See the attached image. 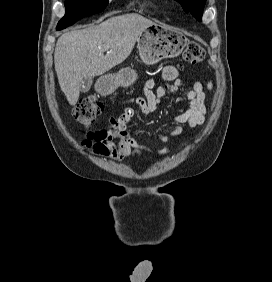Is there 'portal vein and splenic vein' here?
<instances>
[{
    "instance_id": "1",
    "label": "portal vein and splenic vein",
    "mask_w": 272,
    "mask_h": 282,
    "mask_svg": "<svg viewBox=\"0 0 272 282\" xmlns=\"http://www.w3.org/2000/svg\"><path fill=\"white\" fill-rule=\"evenodd\" d=\"M110 48V46L109 45H105L104 47H103V49L106 51V50H108Z\"/></svg>"
}]
</instances>
